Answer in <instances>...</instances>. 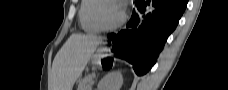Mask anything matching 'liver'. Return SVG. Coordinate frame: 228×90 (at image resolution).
<instances>
[{
	"mask_svg": "<svg viewBox=\"0 0 228 90\" xmlns=\"http://www.w3.org/2000/svg\"><path fill=\"white\" fill-rule=\"evenodd\" d=\"M102 43V38L95 35L72 34L52 64L53 90H72L85 66Z\"/></svg>",
	"mask_w": 228,
	"mask_h": 90,
	"instance_id": "obj_1",
	"label": "liver"
}]
</instances>
